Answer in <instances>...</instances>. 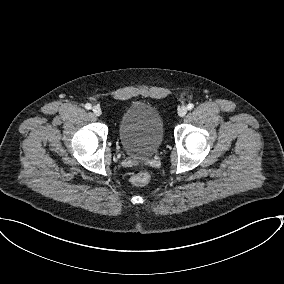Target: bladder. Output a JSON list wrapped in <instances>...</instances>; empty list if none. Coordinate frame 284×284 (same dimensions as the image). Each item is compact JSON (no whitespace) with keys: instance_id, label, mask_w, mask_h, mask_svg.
Masks as SVG:
<instances>
[{"instance_id":"1","label":"bladder","mask_w":284,"mask_h":284,"mask_svg":"<svg viewBox=\"0 0 284 284\" xmlns=\"http://www.w3.org/2000/svg\"><path fill=\"white\" fill-rule=\"evenodd\" d=\"M118 134L127 155L135 159H147L157 152L163 141L162 117L151 105L132 104L119 120Z\"/></svg>"}]
</instances>
